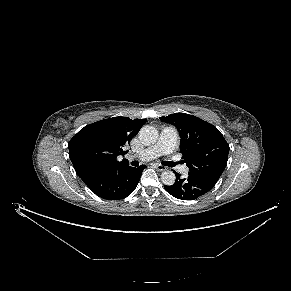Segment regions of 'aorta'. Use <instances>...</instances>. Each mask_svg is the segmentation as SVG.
Masks as SVG:
<instances>
[{
	"mask_svg": "<svg viewBox=\"0 0 291 291\" xmlns=\"http://www.w3.org/2000/svg\"><path fill=\"white\" fill-rule=\"evenodd\" d=\"M158 131L155 127L150 125L143 126L139 131V139L144 145L154 144L158 140ZM176 176L173 171L166 170L161 174V181L168 186L175 183Z\"/></svg>",
	"mask_w": 291,
	"mask_h": 291,
	"instance_id": "aorta-1",
	"label": "aorta"
}]
</instances>
